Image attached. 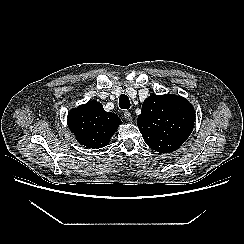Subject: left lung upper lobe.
<instances>
[{
    "instance_id": "5c2ea615",
    "label": "left lung upper lobe",
    "mask_w": 244,
    "mask_h": 244,
    "mask_svg": "<svg viewBox=\"0 0 244 244\" xmlns=\"http://www.w3.org/2000/svg\"><path fill=\"white\" fill-rule=\"evenodd\" d=\"M194 121V108L185 98L152 95L143 102L137 125L150 148L159 153H170L187 140Z\"/></svg>"
}]
</instances>
